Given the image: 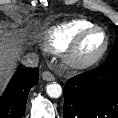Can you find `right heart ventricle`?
Segmentation results:
<instances>
[{"label":"right heart ventricle","instance_id":"e07e8e85","mask_svg":"<svg viewBox=\"0 0 118 118\" xmlns=\"http://www.w3.org/2000/svg\"><path fill=\"white\" fill-rule=\"evenodd\" d=\"M92 26H95L94 23L86 19H76L56 25L47 32L44 47L50 53L59 54L71 45L80 32Z\"/></svg>","mask_w":118,"mask_h":118}]
</instances>
